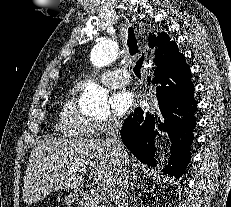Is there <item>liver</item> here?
<instances>
[{
	"label": "liver",
	"mask_w": 231,
	"mask_h": 207,
	"mask_svg": "<svg viewBox=\"0 0 231 207\" xmlns=\"http://www.w3.org/2000/svg\"><path fill=\"white\" fill-rule=\"evenodd\" d=\"M118 167V157L103 140L47 138L31 151L24 177V201L35 203L59 189L78 190L87 172L112 200Z\"/></svg>",
	"instance_id": "obj_1"
}]
</instances>
